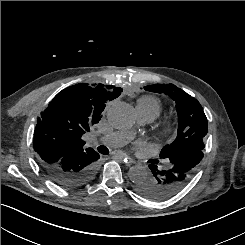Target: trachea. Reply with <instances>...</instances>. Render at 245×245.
Segmentation results:
<instances>
[{
    "instance_id": "obj_1",
    "label": "trachea",
    "mask_w": 245,
    "mask_h": 245,
    "mask_svg": "<svg viewBox=\"0 0 245 245\" xmlns=\"http://www.w3.org/2000/svg\"><path fill=\"white\" fill-rule=\"evenodd\" d=\"M97 150H98L101 154H108V153H109L108 148L105 147V146H99V147L97 148Z\"/></svg>"
}]
</instances>
